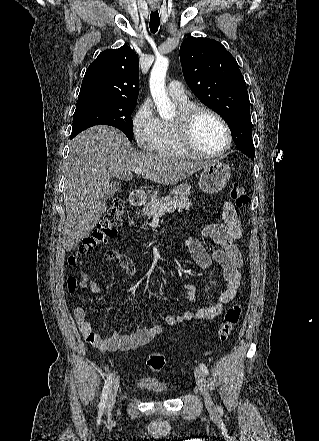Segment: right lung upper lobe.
<instances>
[{"label":"right lung upper lobe","instance_id":"obj_1","mask_svg":"<svg viewBox=\"0 0 319 441\" xmlns=\"http://www.w3.org/2000/svg\"><path fill=\"white\" fill-rule=\"evenodd\" d=\"M139 59L129 46L101 52L84 75L78 100L108 99L137 102Z\"/></svg>","mask_w":319,"mask_h":441}]
</instances>
